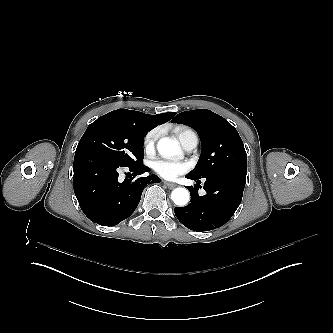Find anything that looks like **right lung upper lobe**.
<instances>
[{
	"mask_svg": "<svg viewBox=\"0 0 333 333\" xmlns=\"http://www.w3.org/2000/svg\"><path fill=\"white\" fill-rule=\"evenodd\" d=\"M108 114L126 117L137 123L143 124L145 127L149 129H153L156 126L169 121L176 113L171 112V113H162L158 115H147L138 111L118 109Z\"/></svg>",
	"mask_w": 333,
	"mask_h": 333,
	"instance_id": "cb5924a9",
	"label": "right lung upper lobe"
}]
</instances>
